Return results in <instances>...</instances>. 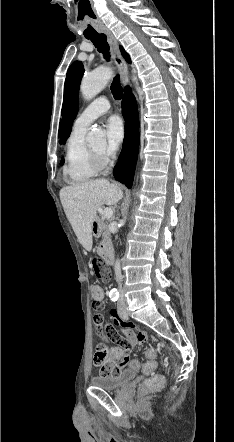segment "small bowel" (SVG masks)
Instances as JSON below:
<instances>
[{"label":"small bowel","mask_w":234,"mask_h":442,"mask_svg":"<svg viewBox=\"0 0 234 442\" xmlns=\"http://www.w3.org/2000/svg\"><path fill=\"white\" fill-rule=\"evenodd\" d=\"M110 315L116 322L117 327L120 328L123 335L121 336L119 329H117L112 322L107 323L103 330L102 316L96 314L93 317V325L96 327L95 331L97 333H102L104 335L100 338L102 343L108 341L112 344H118L121 349L131 351L134 345L143 344L146 341L147 336L145 332L136 329L132 324L125 323L124 320L119 318L116 310L112 309Z\"/></svg>","instance_id":"small-bowel-1"}]
</instances>
